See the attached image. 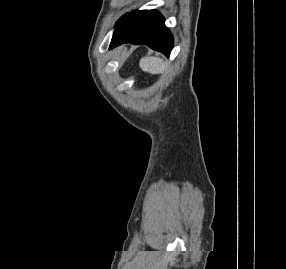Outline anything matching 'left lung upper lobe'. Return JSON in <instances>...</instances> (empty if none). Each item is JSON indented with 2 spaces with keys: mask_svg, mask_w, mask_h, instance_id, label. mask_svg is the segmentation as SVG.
I'll return each mask as SVG.
<instances>
[{
  "mask_svg": "<svg viewBox=\"0 0 286 269\" xmlns=\"http://www.w3.org/2000/svg\"><path fill=\"white\" fill-rule=\"evenodd\" d=\"M122 19H123V18H121V19L119 20V22H120ZM119 22H118V23H119ZM118 23H117V24H118Z\"/></svg>",
  "mask_w": 286,
  "mask_h": 269,
  "instance_id": "left-lung-upper-lobe-1",
  "label": "left lung upper lobe"
}]
</instances>
